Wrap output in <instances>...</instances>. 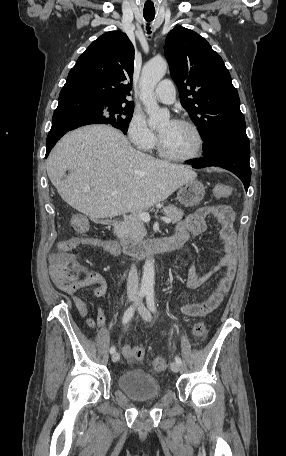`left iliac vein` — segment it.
I'll list each match as a JSON object with an SVG mask.
<instances>
[{"label":"left iliac vein","instance_id":"4c4485c4","mask_svg":"<svg viewBox=\"0 0 286 456\" xmlns=\"http://www.w3.org/2000/svg\"><path fill=\"white\" fill-rule=\"evenodd\" d=\"M138 312L144 320L151 321V314L142 302L138 305ZM170 368L173 372L177 373L180 370V365L177 362H172Z\"/></svg>","mask_w":286,"mask_h":456}]
</instances>
